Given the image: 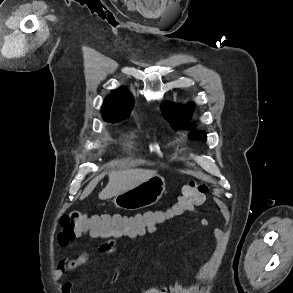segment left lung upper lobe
I'll use <instances>...</instances> for the list:
<instances>
[{"label": "left lung upper lobe", "mask_w": 293, "mask_h": 293, "mask_svg": "<svg viewBox=\"0 0 293 293\" xmlns=\"http://www.w3.org/2000/svg\"><path fill=\"white\" fill-rule=\"evenodd\" d=\"M162 112L165 117L172 123L173 128H178L183 125L190 116L191 106L184 108L183 110L176 109L175 105H171L168 103L162 104L161 106ZM190 139L193 140H206V136L204 132L194 133L190 136Z\"/></svg>", "instance_id": "obj_1"}]
</instances>
